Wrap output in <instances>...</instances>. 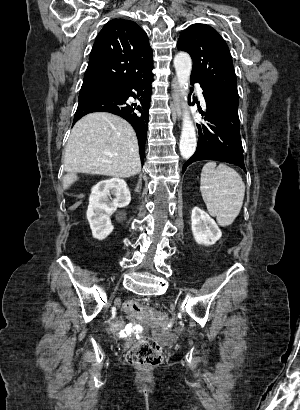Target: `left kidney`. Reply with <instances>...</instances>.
Returning a JSON list of instances; mask_svg holds the SVG:
<instances>
[{"instance_id":"left-kidney-1","label":"left kidney","mask_w":300,"mask_h":410,"mask_svg":"<svg viewBox=\"0 0 300 410\" xmlns=\"http://www.w3.org/2000/svg\"><path fill=\"white\" fill-rule=\"evenodd\" d=\"M191 228L195 241L206 246L215 244L222 236L218 225L206 212L194 207L191 214Z\"/></svg>"}]
</instances>
